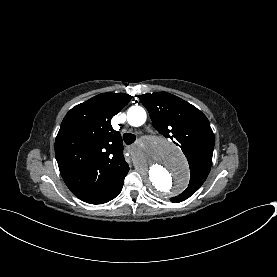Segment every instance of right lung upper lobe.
<instances>
[{"instance_id": "obj_1", "label": "right lung upper lobe", "mask_w": 277, "mask_h": 277, "mask_svg": "<svg viewBox=\"0 0 277 277\" xmlns=\"http://www.w3.org/2000/svg\"><path fill=\"white\" fill-rule=\"evenodd\" d=\"M124 93H102L72 108L55 140L60 173L70 191L91 203L110 193L129 169L113 115L128 104Z\"/></svg>"}]
</instances>
